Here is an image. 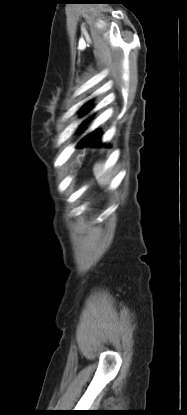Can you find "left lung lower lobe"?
I'll list each match as a JSON object with an SVG mask.
<instances>
[{
  "instance_id": "left-lung-lower-lobe-1",
  "label": "left lung lower lobe",
  "mask_w": 187,
  "mask_h": 415,
  "mask_svg": "<svg viewBox=\"0 0 187 415\" xmlns=\"http://www.w3.org/2000/svg\"><path fill=\"white\" fill-rule=\"evenodd\" d=\"M90 104L87 103L84 108L88 107ZM87 120L84 122L86 123ZM101 134L98 131V129H96L95 131L89 133L88 135H86L83 139L80 140V142L78 143L79 147H83V146H98L101 145Z\"/></svg>"
}]
</instances>
